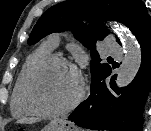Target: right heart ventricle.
<instances>
[{
  "label": "right heart ventricle",
  "instance_id": "1",
  "mask_svg": "<svg viewBox=\"0 0 151 131\" xmlns=\"http://www.w3.org/2000/svg\"><path fill=\"white\" fill-rule=\"evenodd\" d=\"M52 47L48 43H44L39 46L36 50H34L24 62L22 69L19 73V76L16 80L14 85L11 99H10V109L11 113L15 117H24L27 116L29 113L22 107L21 104V90H22V83L24 76L28 70V68L37 60L48 56L52 52Z\"/></svg>",
  "mask_w": 151,
  "mask_h": 131
}]
</instances>
